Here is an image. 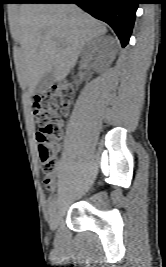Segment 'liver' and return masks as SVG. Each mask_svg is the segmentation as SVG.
Here are the masks:
<instances>
[{
    "mask_svg": "<svg viewBox=\"0 0 166 267\" xmlns=\"http://www.w3.org/2000/svg\"><path fill=\"white\" fill-rule=\"evenodd\" d=\"M106 27L75 4H23L12 29L20 48L16 53L19 82L34 92L53 67L55 82L75 66L86 42L104 35Z\"/></svg>",
    "mask_w": 166,
    "mask_h": 267,
    "instance_id": "1",
    "label": "liver"
}]
</instances>
